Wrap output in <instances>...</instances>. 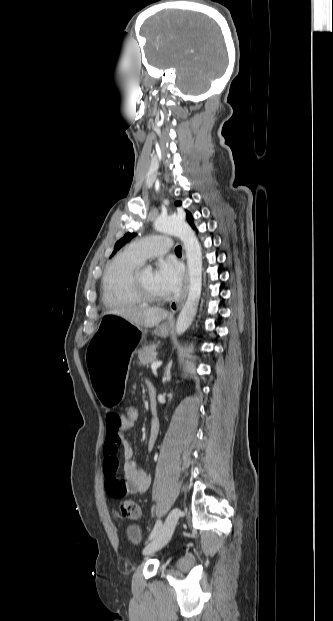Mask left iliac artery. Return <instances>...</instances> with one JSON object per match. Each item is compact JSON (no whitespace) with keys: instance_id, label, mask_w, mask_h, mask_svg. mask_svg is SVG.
I'll use <instances>...</instances> for the list:
<instances>
[{"instance_id":"left-iliac-artery-1","label":"left iliac artery","mask_w":333,"mask_h":621,"mask_svg":"<svg viewBox=\"0 0 333 621\" xmlns=\"http://www.w3.org/2000/svg\"><path fill=\"white\" fill-rule=\"evenodd\" d=\"M161 528H162V522H161V520L158 519L156 521V523H155V526H154L150 536H149V540L154 539L159 534Z\"/></svg>"}]
</instances>
